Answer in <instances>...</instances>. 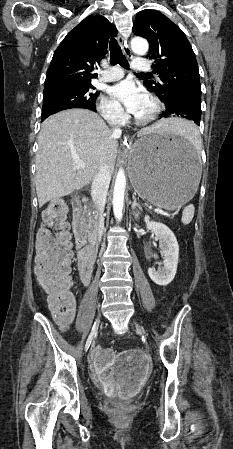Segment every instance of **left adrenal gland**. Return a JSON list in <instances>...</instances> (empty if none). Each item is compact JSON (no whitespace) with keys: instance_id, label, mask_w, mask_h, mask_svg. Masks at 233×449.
Wrapping results in <instances>:
<instances>
[{"instance_id":"left-adrenal-gland-1","label":"left adrenal gland","mask_w":233,"mask_h":449,"mask_svg":"<svg viewBox=\"0 0 233 449\" xmlns=\"http://www.w3.org/2000/svg\"><path fill=\"white\" fill-rule=\"evenodd\" d=\"M132 198H133V203H132V206H131L132 214H133L134 218L136 220H138L140 218V216H141L143 208H142V206L139 203H137L135 195H133Z\"/></svg>"}]
</instances>
